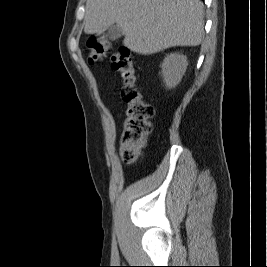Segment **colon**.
I'll return each instance as SVG.
<instances>
[{"label":"colon","mask_w":267,"mask_h":267,"mask_svg":"<svg viewBox=\"0 0 267 267\" xmlns=\"http://www.w3.org/2000/svg\"><path fill=\"white\" fill-rule=\"evenodd\" d=\"M89 61L96 63L105 58L112 48L111 42L100 36L88 40ZM112 68L122 81L121 97L125 104V118L120 135V156L132 164L139 158L151 131L154 108L146 103L136 85V70L130 50L118 46L112 55Z\"/></svg>","instance_id":"5ec220e1"}]
</instances>
